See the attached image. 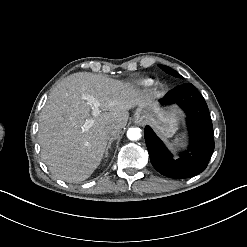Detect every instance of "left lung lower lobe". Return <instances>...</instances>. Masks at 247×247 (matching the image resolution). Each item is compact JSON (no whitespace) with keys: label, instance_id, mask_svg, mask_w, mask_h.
<instances>
[{"label":"left lung lower lobe","instance_id":"0a47b994","mask_svg":"<svg viewBox=\"0 0 247 247\" xmlns=\"http://www.w3.org/2000/svg\"><path fill=\"white\" fill-rule=\"evenodd\" d=\"M178 104L187 115L190 145L173 158L153 130L145 127V141L153 167L171 178H190L203 172L214 151L213 126L207 104L190 83L177 86L160 99L161 105Z\"/></svg>","mask_w":247,"mask_h":247}]
</instances>
